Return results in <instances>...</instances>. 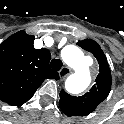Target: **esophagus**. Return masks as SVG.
Instances as JSON below:
<instances>
[{
  "mask_svg": "<svg viewBox=\"0 0 124 124\" xmlns=\"http://www.w3.org/2000/svg\"><path fill=\"white\" fill-rule=\"evenodd\" d=\"M72 73V70L69 67H63L60 71H59V76L61 80H64L69 74Z\"/></svg>",
  "mask_w": 124,
  "mask_h": 124,
  "instance_id": "1",
  "label": "esophagus"
}]
</instances>
